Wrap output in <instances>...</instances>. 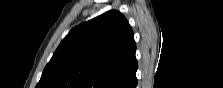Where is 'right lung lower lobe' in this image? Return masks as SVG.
<instances>
[{"mask_svg": "<svg viewBox=\"0 0 223 88\" xmlns=\"http://www.w3.org/2000/svg\"><path fill=\"white\" fill-rule=\"evenodd\" d=\"M136 85H137V79H134V81L132 82V88H136Z\"/></svg>", "mask_w": 223, "mask_h": 88, "instance_id": "right-lung-lower-lobe-1", "label": "right lung lower lobe"}]
</instances>
